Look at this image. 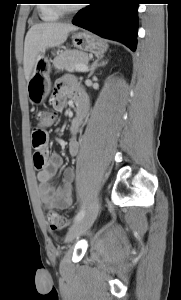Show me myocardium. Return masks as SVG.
I'll use <instances>...</instances> for the list:
<instances>
[{
  "instance_id": "f54148a6",
  "label": "myocardium",
  "mask_w": 181,
  "mask_h": 300,
  "mask_svg": "<svg viewBox=\"0 0 181 300\" xmlns=\"http://www.w3.org/2000/svg\"><path fill=\"white\" fill-rule=\"evenodd\" d=\"M54 3L55 9L62 15L68 14L73 11L78 10V7L67 5L66 3H61L59 0H52Z\"/></svg>"
}]
</instances>
